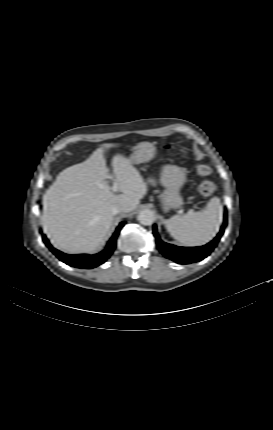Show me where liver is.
Listing matches in <instances>:
<instances>
[{"label": "liver", "mask_w": 273, "mask_h": 430, "mask_svg": "<svg viewBox=\"0 0 273 430\" xmlns=\"http://www.w3.org/2000/svg\"><path fill=\"white\" fill-rule=\"evenodd\" d=\"M119 145L104 144L84 162L64 169L46 192L41 222L57 249L66 253L97 250L113 223L111 207L122 203L125 213L132 212L146 194L143 177L122 154L112 159L122 194L111 192L105 153Z\"/></svg>", "instance_id": "obj_1"}]
</instances>
